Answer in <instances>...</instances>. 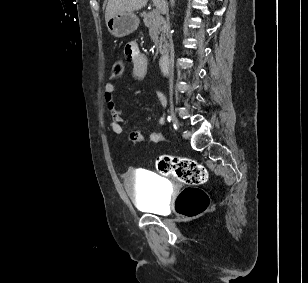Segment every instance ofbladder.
Returning <instances> with one entry per match:
<instances>
[{"label":"bladder","instance_id":"1","mask_svg":"<svg viewBox=\"0 0 308 283\" xmlns=\"http://www.w3.org/2000/svg\"><path fill=\"white\" fill-rule=\"evenodd\" d=\"M124 185L136 207L150 213H165L168 187L163 178L147 170H137L126 175Z\"/></svg>","mask_w":308,"mask_h":283}]
</instances>
